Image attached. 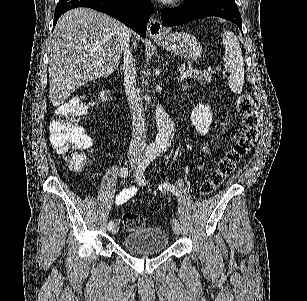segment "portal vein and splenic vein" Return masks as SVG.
Here are the masks:
<instances>
[{"instance_id":"portal-vein-and-splenic-vein-1","label":"portal vein and splenic vein","mask_w":307,"mask_h":301,"mask_svg":"<svg viewBox=\"0 0 307 301\" xmlns=\"http://www.w3.org/2000/svg\"><path fill=\"white\" fill-rule=\"evenodd\" d=\"M194 70H185V72H181L182 76L181 78H185V76H190Z\"/></svg>"}]
</instances>
